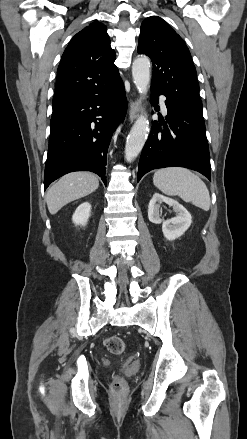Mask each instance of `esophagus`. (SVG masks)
<instances>
[{
    "instance_id": "1",
    "label": "esophagus",
    "mask_w": 247,
    "mask_h": 439,
    "mask_svg": "<svg viewBox=\"0 0 247 439\" xmlns=\"http://www.w3.org/2000/svg\"><path fill=\"white\" fill-rule=\"evenodd\" d=\"M141 109V101L139 99H136L135 101H130L129 105V112L128 117L131 122L135 120V118L138 116Z\"/></svg>"
}]
</instances>
